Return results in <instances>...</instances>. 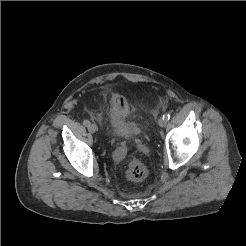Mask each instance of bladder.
Masks as SVG:
<instances>
[{
  "instance_id": "bladder-1",
  "label": "bladder",
  "mask_w": 246,
  "mask_h": 246,
  "mask_svg": "<svg viewBox=\"0 0 246 246\" xmlns=\"http://www.w3.org/2000/svg\"><path fill=\"white\" fill-rule=\"evenodd\" d=\"M110 135L115 139H132L141 133V126L134 120L128 108L123 107L118 99H112L108 108Z\"/></svg>"
}]
</instances>
